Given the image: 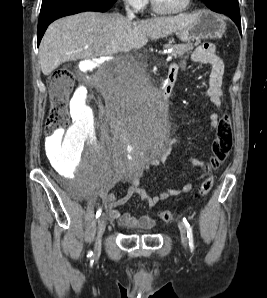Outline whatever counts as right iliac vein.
<instances>
[{
  "label": "right iliac vein",
  "mask_w": 267,
  "mask_h": 298,
  "mask_svg": "<svg viewBox=\"0 0 267 298\" xmlns=\"http://www.w3.org/2000/svg\"><path fill=\"white\" fill-rule=\"evenodd\" d=\"M107 224V220L104 214H102L98 219V225H97V237L95 241V247H94V257L98 256L101 252V238L105 231Z\"/></svg>",
  "instance_id": "obj_1"
}]
</instances>
